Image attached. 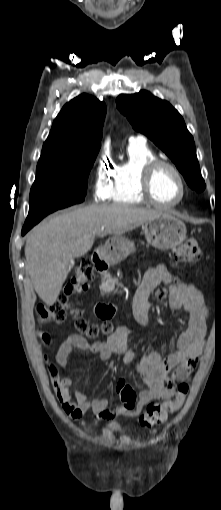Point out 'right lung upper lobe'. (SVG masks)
<instances>
[{"label":"right lung upper lobe","mask_w":221,"mask_h":510,"mask_svg":"<svg viewBox=\"0 0 221 510\" xmlns=\"http://www.w3.org/2000/svg\"><path fill=\"white\" fill-rule=\"evenodd\" d=\"M106 105L81 94L64 105L43 144L40 159L100 148Z\"/></svg>","instance_id":"right-lung-upper-lobe-1"}]
</instances>
